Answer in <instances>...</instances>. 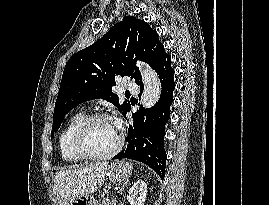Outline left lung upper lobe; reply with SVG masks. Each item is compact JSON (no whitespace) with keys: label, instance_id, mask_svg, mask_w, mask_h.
Returning <instances> with one entry per match:
<instances>
[{"label":"left lung upper lobe","instance_id":"1","mask_svg":"<svg viewBox=\"0 0 269 205\" xmlns=\"http://www.w3.org/2000/svg\"><path fill=\"white\" fill-rule=\"evenodd\" d=\"M167 55L157 32L143 20L125 17L100 40L75 53L65 65L53 115L51 136L65 115L82 102L104 99L114 104L122 114L129 108L112 92L115 77L129 76L142 85L136 60L147 62L156 71Z\"/></svg>","mask_w":269,"mask_h":205}]
</instances>
